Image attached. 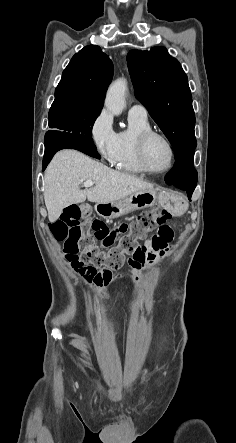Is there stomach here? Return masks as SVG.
<instances>
[{
	"mask_svg": "<svg viewBox=\"0 0 236 443\" xmlns=\"http://www.w3.org/2000/svg\"><path fill=\"white\" fill-rule=\"evenodd\" d=\"M157 203L176 216L183 214L187 208L186 200L180 195L174 192H157L150 189L133 193L115 202L98 203L95 210L103 218L114 219L135 210L152 207Z\"/></svg>",
	"mask_w": 236,
	"mask_h": 443,
	"instance_id": "1",
	"label": "stomach"
}]
</instances>
